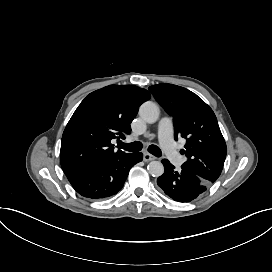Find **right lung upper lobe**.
<instances>
[{
	"mask_svg": "<svg viewBox=\"0 0 272 272\" xmlns=\"http://www.w3.org/2000/svg\"><path fill=\"white\" fill-rule=\"evenodd\" d=\"M150 97L147 90L134 85H109L90 93L63 132L60 162L65 175L125 154L115 152L111 140L130 133L139 106Z\"/></svg>",
	"mask_w": 272,
	"mask_h": 272,
	"instance_id": "right-lung-upper-lobe-1",
	"label": "right lung upper lobe"
}]
</instances>
